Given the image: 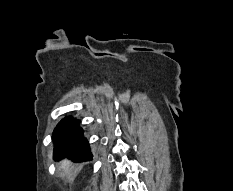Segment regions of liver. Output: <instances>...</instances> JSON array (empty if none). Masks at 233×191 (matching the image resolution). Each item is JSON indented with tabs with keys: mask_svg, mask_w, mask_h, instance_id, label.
I'll return each instance as SVG.
<instances>
[{
	"mask_svg": "<svg viewBox=\"0 0 233 191\" xmlns=\"http://www.w3.org/2000/svg\"><path fill=\"white\" fill-rule=\"evenodd\" d=\"M69 165H70V162L68 160H64L60 163V168L65 170L69 167Z\"/></svg>",
	"mask_w": 233,
	"mask_h": 191,
	"instance_id": "1",
	"label": "liver"
}]
</instances>
